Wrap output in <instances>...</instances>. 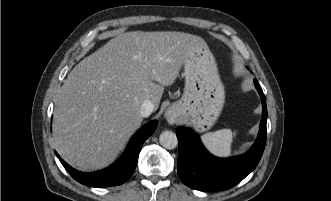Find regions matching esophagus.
Instances as JSON below:
<instances>
[{
  "mask_svg": "<svg viewBox=\"0 0 331 201\" xmlns=\"http://www.w3.org/2000/svg\"><path fill=\"white\" fill-rule=\"evenodd\" d=\"M165 118L169 124H174L177 121V115L174 109H169L165 112Z\"/></svg>",
  "mask_w": 331,
  "mask_h": 201,
  "instance_id": "1",
  "label": "esophagus"
}]
</instances>
